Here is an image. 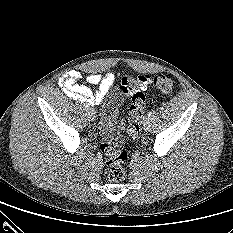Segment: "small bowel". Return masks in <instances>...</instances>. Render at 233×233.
I'll list each match as a JSON object with an SVG mask.
<instances>
[{
    "mask_svg": "<svg viewBox=\"0 0 233 233\" xmlns=\"http://www.w3.org/2000/svg\"><path fill=\"white\" fill-rule=\"evenodd\" d=\"M81 78L82 74L78 70H70L59 79V85L69 98L91 105L102 102L115 81V76L112 72L104 76L98 73L89 74L86 78L87 82L97 87L96 89H92L79 84ZM135 80L137 79H130L127 77L122 79L120 86L121 91L125 95L129 96L132 94L129 86ZM138 80L141 81L142 88L146 87L149 83V78L147 76L139 77Z\"/></svg>",
    "mask_w": 233,
    "mask_h": 233,
    "instance_id": "1",
    "label": "small bowel"
}]
</instances>
